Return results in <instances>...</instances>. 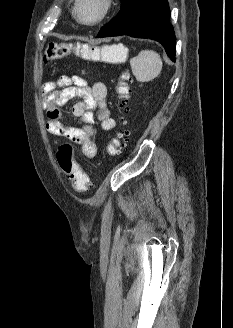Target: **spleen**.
<instances>
[{"label": "spleen", "mask_w": 233, "mask_h": 328, "mask_svg": "<svg viewBox=\"0 0 233 328\" xmlns=\"http://www.w3.org/2000/svg\"><path fill=\"white\" fill-rule=\"evenodd\" d=\"M123 48L118 46L104 47L103 53L119 54ZM133 75L139 82H149L155 79L162 70V59L158 53L152 50H143L130 60Z\"/></svg>", "instance_id": "spleen-1"}]
</instances>
